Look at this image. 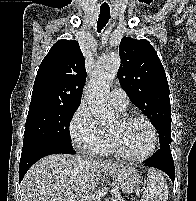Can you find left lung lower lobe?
<instances>
[{
    "mask_svg": "<svg viewBox=\"0 0 196 201\" xmlns=\"http://www.w3.org/2000/svg\"><path fill=\"white\" fill-rule=\"evenodd\" d=\"M144 165L164 171L174 182V161L170 151V145L161 146L155 155L145 161Z\"/></svg>",
    "mask_w": 196,
    "mask_h": 201,
    "instance_id": "0a47b994",
    "label": "left lung lower lobe"
}]
</instances>
